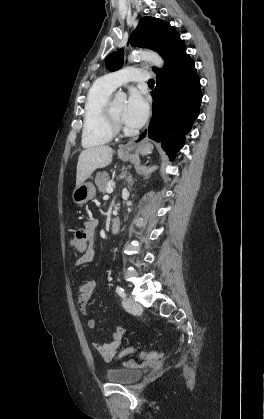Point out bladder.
I'll return each instance as SVG.
<instances>
[{"label":"bladder","instance_id":"bladder-1","mask_svg":"<svg viewBox=\"0 0 264 419\" xmlns=\"http://www.w3.org/2000/svg\"><path fill=\"white\" fill-rule=\"evenodd\" d=\"M144 372L142 369L126 364L122 367L110 368L106 371V379L112 383L129 385L139 381Z\"/></svg>","mask_w":264,"mask_h":419}]
</instances>
